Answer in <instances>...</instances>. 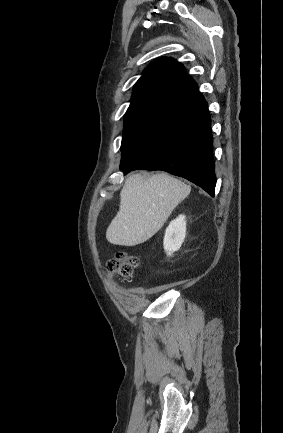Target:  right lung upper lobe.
Wrapping results in <instances>:
<instances>
[{
    "label": "right lung upper lobe",
    "instance_id": "cb5924a9",
    "mask_svg": "<svg viewBox=\"0 0 283 433\" xmlns=\"http://www.w3.org/2000/svg\"><path fill=\"white\" fill-rule=\"evenodd\" d=\"M198 94L196 82L183 65L172 58H159L150 63L135 84L128 109L162 114Z\"/></svg>",
    "mask_w": 283,
    "mask_h": 433
}]
</instances>
